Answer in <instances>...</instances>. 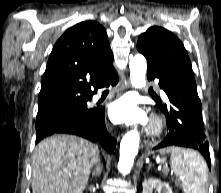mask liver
I'll return each instance as SVG.
<instances>
[{
	"label": "liver",
	"mask_w": 221,
	"mask_h": 193,
	"mask_svg": "<svg viewBox=\"0 0 221 193\" xmlns=\"http://www.w3.org/2000/svg\"><path fill=\"white\" fill-rule=\"evenodd\" d=\"M99 148L73 135H55L35 148L32 161L33 193H82Z\"/></svg>",
	"instance_id": "1"
}]
</instances>
